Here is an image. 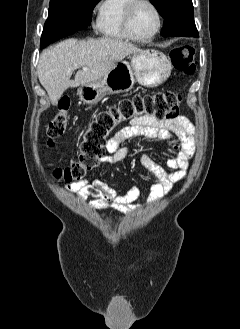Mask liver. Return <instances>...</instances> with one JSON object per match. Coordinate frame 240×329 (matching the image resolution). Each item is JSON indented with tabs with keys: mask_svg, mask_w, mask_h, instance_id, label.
<instances>
[{
	"mask_svg": "<svg viewBox=\"0 0 240 329\" xmlns=\"http://www.w3.org/2000/svg\"><path fill=\"white\" fill-rule=\"evenodd\" d=\"M142 50L117 39L102 38L78 41L67 39L44 50L38 63V78L50 100L57 103L69 87L94 82L106 75L127 55ZM86 67L84 71L81 68ZM79 69L74 80L71 75Z\"/></svg>",
	"mask_w": 240,
	"mask_h": 329,
	"instance_id": "1",
	"label": "liver"
}]
</instances>
